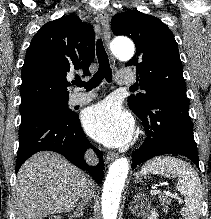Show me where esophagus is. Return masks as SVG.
Masks as SVG:
<instances>
[{
	"instance_id": "obj_1",
	"label": "esophagus",
	"mask_w": 211,
	"mask_h": 219,
	"mask_svg": "<svg viewBox=\"0 0 211 219\" xmlns=\"http://www.w3.org/2000/svg\"><path fill=\"white\" fill-rule=\"evenodd\" d=\"M97 17H98L100 24L103 27V35H104L105 45H106V47H108L109 42H110V38H111L108 14L104 10H101L98 12ZM116 157H117V153L109 152L106 155L105 161L107 163H109V162L113 161Z\"/></svg>"
}]
</instances>
